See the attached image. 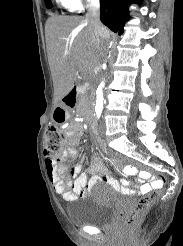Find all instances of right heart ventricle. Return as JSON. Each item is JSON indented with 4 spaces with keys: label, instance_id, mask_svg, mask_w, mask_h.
<instances>
[{
    "label": "right heart ventricle",
    "instance_id": "right-heart-ventricle-1",
    "mask_svg": "<svg viewBox=\"0 0 183 246\" xmlns=\"http://www.w3.org/2000/svg\"><path fill=\"white\" fill-rule=\"evenodd\" d=\"M56 2L60 6H62L64 8H67V9H70V10L74 9L73 6H72V4H71V2L69 0H56Z\"/></svg>",
    "mask_w": 183,
    "mask_h": 246
}]
</instances>
